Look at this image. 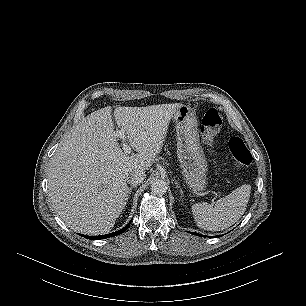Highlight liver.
Masks as SVG:
<instances>
[{
    "instance_id": "obj_1",
    "label": "liver",
    "mask_w": 306,
    "mask_h": 306,
    "mask_svg": "<svg viewBox=\"0 0 306 306\" xmlns=\"http://www.w3.org/2000/svg\"><path fill=\"white\" fill-rule=\"evenodd\" d=\"M182 104L117 107L113 116L137 154L118 144L111 107L99 109L61 141L48 172L53 207L76 232H109L128 200L127 177L148 170L160 153L171 118Z\"/></svg>"
}]
</instances>
